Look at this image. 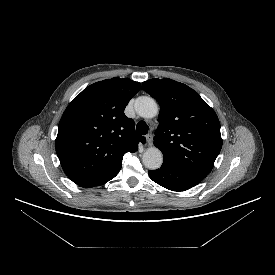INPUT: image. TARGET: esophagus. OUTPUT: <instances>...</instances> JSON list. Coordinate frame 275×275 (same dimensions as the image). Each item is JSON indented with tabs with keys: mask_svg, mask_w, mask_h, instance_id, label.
Masks as SVG:
<instances>
[{
	"mask_svg": "<svg viewBox=\"0 0 275 275\" xmlns=\"http://www.w3.org/2000/svg\"><path fill=\"white\" fill-rule=\"evenodd\" d=\"M146 141L148 146H152L153 144V135L152 134H147L146 135Z\"/></svg>",
	"mask_w": 275,
	"mask_h": 275,
	"instance_id": "obj_1",
	"label": "esophagus"
}]
</instances>
